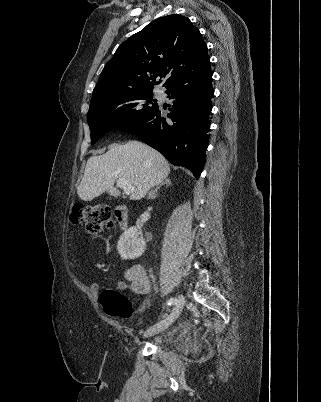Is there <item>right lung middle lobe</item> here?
Here are the masks:
<instances>
[{"instance_id": "obj_1", "label": "right lung middle lobe", "mask_w": 321, "mask_h": 402, "mask_svg": "<svg viewBox=\"0 0 321 402\" xmlns=\"http://www.w3.org/2000/svg\"><path fill=\"white\" fill-rule=\"evenodd\" d=\"M157 107L152 90L126 94L90 106L87 118L91 130V144H95L110 130L120 129L143 119Z\"/></svg>"}]
</instances>
